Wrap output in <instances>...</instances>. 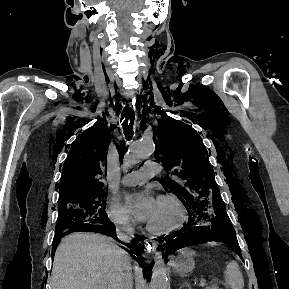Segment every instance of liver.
I'll return each instance as SVG.
<instances>
[{"mask_svg":"<svg viewBox=\"0 0 289 289\" xmlns=\"http://www.w3.org/2000/svg\"><path fill=\"white\" fill-rule=\"evenodd\" d=\"M126 251L110 238L91 233L65 237L56 249L52 289H118Z\"/></svg>","mask_w":289,"mask_h":289,"instance_id":"6515ba94","label":"liver"}]
</instances>
